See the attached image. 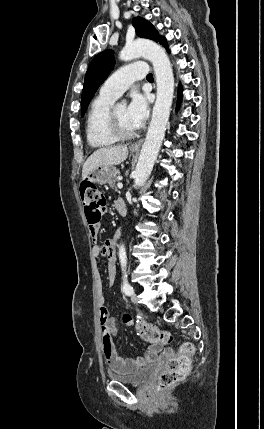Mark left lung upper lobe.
<instances>
[{"instance_id":"obj_1","label":"left lung upper lobe","mask_w":264,"mask_h":429,"mask_svg":"<svg viewBox=\"0 0 264 429\" xmlns=\"http://www.w3.org/2000/svg\"><path fill=\"white\" fill-rule=\"evenodd\" d=\"M132 24L139 37L147 38L159 42L162 36H159L154 26L141 17L134 18ZM114 59L113 51L105 50L97 54L86 72L84 87L81 98V116L87 110V107L93 98L98 87L105 81L110 71L113 69Z\"/></svg>"}]
</instances>
